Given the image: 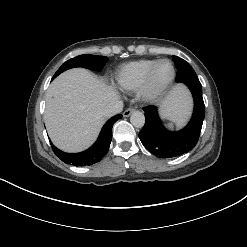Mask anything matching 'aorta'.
Wrapping results in <instances>:
<instances>
[{"mask_svg": "<svg viewBox=\"0 0 247 247\" xmlns=\"http://www.w3.org/2000/svg\"><path fill=\"white\" fill-rule=\"evenodd\" d=\"M130 122L134 127L141 128L145 123V116L140 111H135L130 116Z\"/></svg>", "mask_w": 247, "mask_h": 247, "instance_id": "obj_1", "label": "aorta"}]
</instances>
